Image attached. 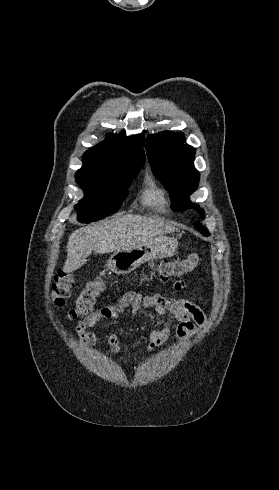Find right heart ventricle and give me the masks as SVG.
<instances>
[{
  "label": "right heart ventricle",
  "mask_w": 279,
  "mask_h": 490,
  "mask_svg": "<svg viewBox=\"0 0 279 490\" xmlns=\"http://www.w3.org/2000/svg\"><path fill=\"white\" fill-rule=\"evenodd\" d=\"M143 201L146 204L158 206L166 203L165 191L152 178L147 181V187L143 193Z\"/></svg>",
  "instance_id": "obj_1"
}]
</instances>
